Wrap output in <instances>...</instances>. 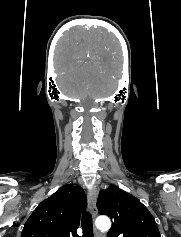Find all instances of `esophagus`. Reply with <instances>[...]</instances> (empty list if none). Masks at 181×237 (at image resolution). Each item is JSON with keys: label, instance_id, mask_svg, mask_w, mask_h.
I'll list each match as a JSON object with an SVG mask.
<instances>
[{"label": "esophagus", "instance_id": "obj_1", "mask_svg": "<svg viewBox=\"0 0 181 237\" xmlns=\"http://www.w3.org/2000/svg\"><path fill=\"white\" fill-rule=\"evenodd\" d=\"M87 197H88V203H89L90 212H91L93 218H95L96 215H97V207H96L97 190H96L95 187H92V188H90L88 190ZM95 234L97 236V231H95Z\"/></svg>", "mask_w": 181, "mask_h": 237}]
</instances>
